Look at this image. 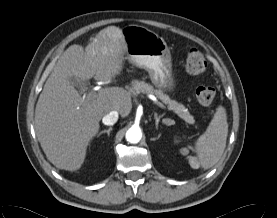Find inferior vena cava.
<instances>
[{"label":"inferior vena cava","instance_id":"obj_1","mask_svg":"<svg viewBox=\"0 0 277 218\" xmlns=\"http://www.w3.org/2000/svg\"><path fill=\"white\" fill-rule=\"evenodd\" d=\"M118 120V112L117 111H111L107 115H105L102 119V122L107 125H114Z\"/></svg>","mask_w":277,"mask_h":218}]
</instances>
